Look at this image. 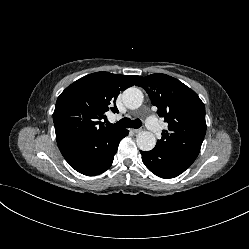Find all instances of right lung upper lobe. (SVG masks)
<instances>
[{
	"label": "right lung upper lobe",
	"mask_w": 249,
	"mask_h": 249,
	"mask_svg": "<svg viewBox=\"0 0 249 249\" xmlns=\"http://www.w3.org/2000/svg\"><path fill=\"white\" fill-rule=\"evenodd\" d=\"M141 78L96 72L72 83L56 102L53 113L56 140L95 138L119 130L104 126L101 119L109 108L118 112L115 101L120 91L137 85Z\"/></svg>",
	"instance_id": "right-lung-upper-lobe-1"
}]
</instances>
